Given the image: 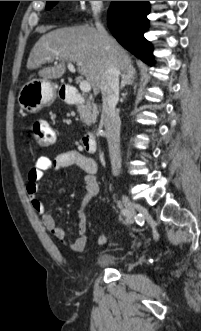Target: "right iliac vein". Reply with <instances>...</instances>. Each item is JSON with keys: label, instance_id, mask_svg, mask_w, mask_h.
Masks as SVG:
<instances>
[{"label": "right iliac vein", "instance_id": "1", "mask_svg": "<svg viewBox=\"0 0 201 331\" xmlns=\"http://www.w3.org/2000/svg\"><path fill=\"white\" fill-rule=\"evenodd\" d=\"M122 201L127 210L126 221L128 224H132L135 218V204L132 203L129 198L125 195L122 196Z\"/></svg>", "mask_w": 201, "mask_h": 331}]
</instances>
